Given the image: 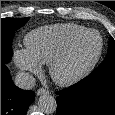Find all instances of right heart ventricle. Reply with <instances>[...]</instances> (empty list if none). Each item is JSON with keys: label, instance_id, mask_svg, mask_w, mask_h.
<instances>
[{"label": "right heart ventricle", "instance_id": "right-heart-ventricle-1", "mask_svg": "<svg viewBox=\"0 0 115 115\" xmlns=\"http://www.w3.org/2000/svg\"><path fill=\"white\" fill-rule=\"evenodd\" d=\"M87 30L76 23L39 27L25 37L27 51L39 64H48L78 34Z\"/></svg>", "mask_w": 115, "mask_h": 115}]
</instances>
